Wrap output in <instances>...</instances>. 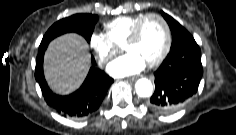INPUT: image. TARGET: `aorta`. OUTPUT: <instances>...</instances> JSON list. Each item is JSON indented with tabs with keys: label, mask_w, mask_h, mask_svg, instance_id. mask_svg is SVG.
I'll return each instance as SVG.
<instances>
[{
	"label": "aorta",
	"mask_w": 236,
	"mask_h": 135,
	"mask_svg": "<svg viewBox=\"0 0 236 135\" xmlns=\"http://www.w3.org/2000/svg\"><path fill=\"white\" fill-rule=\"evenodd\" d=\"M135 90L140 97H150L153 92V85L147 78H141L135 83Z\"/></svg>",
	"instance_id": "aorta-1"
}]
</instances>
